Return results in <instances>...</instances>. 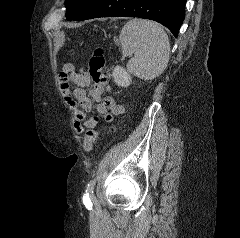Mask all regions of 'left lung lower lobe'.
I'll return each mask as SVG.
<instances>
[{
    "label": "left lung lower lobe",
    "mask_w": 240,
    "mask_h": 238,
    "mask_svg": "<svg viewBox=\"0 0 240 238\" xmlns=\"http://www.w3.org/2000/svg\"><path fill=\"white\" fill-rule=\"evenodd\" d=\"M186 0H91L74 21L99 17H139L166 26L177 37Z\"/></svg>",
    "instance_id": "1"
}]
</instances>
